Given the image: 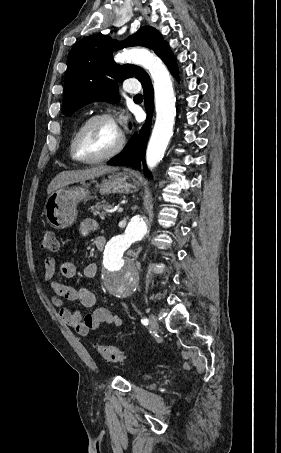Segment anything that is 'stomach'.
Masks as SVG:
<instances>
[{
  "mask_svg": "<svg viewBox=\"0 0 281 453\" xmlns=\"http://www.w3.org/2000/svg\"><path fill=\"white\" fill-rule=\"evenodd\" d=\"M101 194L109 192H134L141 186L139 174L134 170L124 172H112L108 178H104L101 184H97ZM90 194L84 182L81 186H62L53 190L46 198L44 212L47 222L53 229H67L71 227L77 218V204L80 200H87Z\"/></svg>",
  "mask_w": 281,
  "mask_h": 453,
  "instance_id": "stomach-1",
  "label": "stomach"
}]
</instances>
